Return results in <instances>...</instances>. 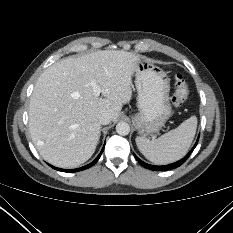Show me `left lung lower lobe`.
<instances>
[{
  "mask_svg": "<svg viewBox=\"0 0 233 233\" xmlns=\"http://www.w3.org/2000/svg\"><path fill=\"white\" fill-rule=\"evenodd\" d=\"M197 143H198V139H197L195 145L193 146V148L191 149V151H190L184 158H182L181 160H179V161H177V162L171 163V164H169V165H164V166L150 165V164H147V163L143 162L142 160H140L135 154H134V156H135L136 160H137L142 166H144V167L147 168V169H150V170H157V171H158V170H160V171H162V170H171V169H174V168H177V167L181 166V165L188 159V157L190 156V154L192 153V151H193L194 148L196 147Z\"/></svg>",
  "mask_w": 233,
  "mask_h": 233,
  "instance_id": "obj_1",
  "label": "left lung lower lobe"
}]
</instances>
